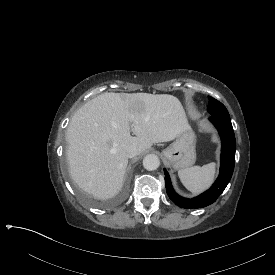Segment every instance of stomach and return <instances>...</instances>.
Wrapping results in <instances>:
<instances>
[{
    "label": "stomach",
    "instance_id": "stomach-1",
    "mask_svg": "<svg viewBox=\"0 0 275 275\" xmlns=\"http://www.w3.org/2000/svg\"><path fill=\"white\" fill-rule=\"evenodd\" d=\"M195 143V133L189 126L175 142L163 151V156L174 169L188 168L196 160Z\"/></svg>",
    "mask_w": 275,
    "mask_h": 275
}]
</instances>
